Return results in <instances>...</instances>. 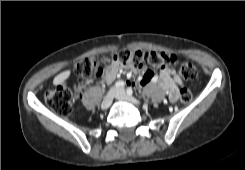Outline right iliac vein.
Masks as SVG:
<instances>
[{
  "label": "right iliac vein",
  "mask_w": 245,
  "mask_h": 170,
  "mask_svg": "<svg viewBox=\"0 0 245 170\" xmlns=\"http://www.w3.org/2000/svg\"><path fill=\"white\" fill-rule=\"evenodd\" d=\"M116 93V89H112L107 95L106 97L104 98L102 104H101V108L103 110H106L110 107V105L112 104V101H113V97H114V94Z\"/></svg>",
  "instance_id": "63e3f726"
}]
</instances>
